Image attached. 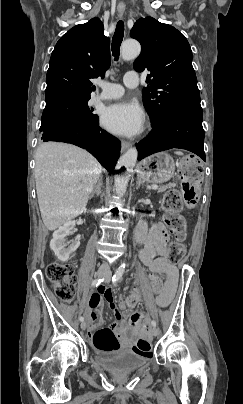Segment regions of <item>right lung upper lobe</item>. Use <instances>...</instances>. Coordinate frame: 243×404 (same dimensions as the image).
Segmentation results:
<instances>
[{"label": "right lung upper lobe", "instance_id": "right-lung-upper-lobe-1", "mask_svg": "<svg viewBox=\"0 0 243 404\" xmlns=\"http://www.w3.org/2000/svg\"><path fill=\"white\" fill-rule=\"evenodd\" d=\"M110 66V40L99 18L70 29L57 42L47 71L46 103L90 96V79L103 78Z\"/></svg>", "mask_w": 243, "mask_h": 404}]
</instances>
